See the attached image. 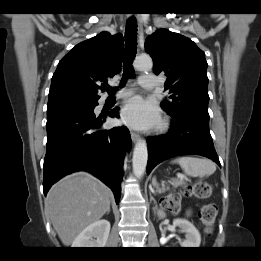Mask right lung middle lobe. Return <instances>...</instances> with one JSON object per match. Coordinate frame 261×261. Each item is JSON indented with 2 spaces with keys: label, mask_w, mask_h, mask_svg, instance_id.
I'll return each instance as SVG.
<instances>
[{
  "label": "right lung middle lobe",
  "mask_w": 261,
  "mask_h": 261,
  "mask_svg": "<svg viewBox=\"0 0 261 261\" xmlns=\"http://www.w3.org/2000/svg\"><path fill=\"white\" fill-rule=\"evenodd\" d=\"M96 103L97 101L76 98H56L48 101L47 114L66 109L88 110L92 108Z\"/></svg>",
  "instance_id": "1"
}]
</instances>
